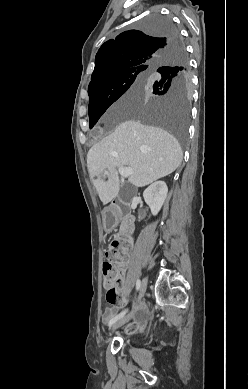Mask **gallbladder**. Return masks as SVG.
<instances>
[{
    "label": "gallbladder",
    "instance_id": "bac80fb5",
    "mask_svg": "<svg viewBox=\"0 0 248 389\" xmlns=\"http://www.w3.org/2000/svg\"><path fill=\"white\" fill-rule=\"evenodd\" d=\"M120 196L123 200H127L131 196V190L129 185H125L121 189Z\"/></svg>",
    "mask_w": 248,
    "mask_h": 389
}]
</instances>
